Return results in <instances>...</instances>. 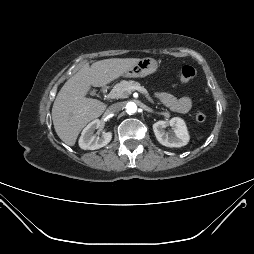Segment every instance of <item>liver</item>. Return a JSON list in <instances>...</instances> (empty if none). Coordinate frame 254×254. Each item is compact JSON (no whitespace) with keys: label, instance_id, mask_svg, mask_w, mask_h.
Masks as SVG:
<instances>
[{"label":"liver","instance_id":"1","mask_svg":"<svg viewBox=\"0 0 254 254\" xmlns=\"http://www.w3.org/2000/svg\"><path fill=\"white\" fill-rule=\"evenodd\" d=\"M138 58H111L86 63L70 77L57 94L52 120L59 138L73 146L81 130L91 120L103 114L106 105L96 99L87 98L91 86L102 87L122 76L133 67Z\"/></svg>","mask_w":254,"mask_h":254}]
</instances>
